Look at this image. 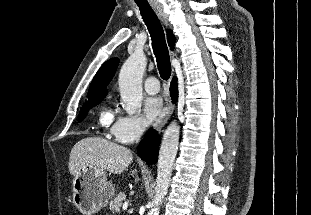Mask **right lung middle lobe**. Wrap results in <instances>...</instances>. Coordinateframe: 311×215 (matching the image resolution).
<instances>
[{"instance_id":"1","label":"right lung middle lobe","mask_w":311,"mask_h":215,"mask_svg":"<svg viewBox=\"0 0 311 215\" xmlns=\"http://www.w3.org/2000/svg\"><path fill=\"white\" fill-rule=\"evenodd\" d=\"M103 98H104V97L91 98V99H89V101L85 102V103L83 104L81 110H80V113H79V122L82 121V120L85 118V116H86L88 110H89L92 106H94V105L100 103L101 100H102Z\"/></svg>"}]
</instances>
